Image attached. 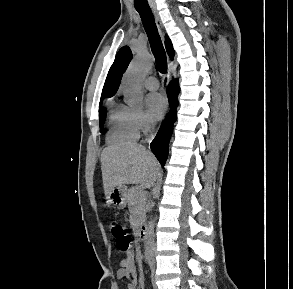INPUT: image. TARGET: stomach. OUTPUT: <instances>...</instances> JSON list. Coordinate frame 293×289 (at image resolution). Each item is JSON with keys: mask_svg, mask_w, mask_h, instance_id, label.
I'll return each mask as SVG.
<instances>
[{"mask_svg": "<svg viewBox=\"0 0 293 289\" xmlns=\"http://www.w3.org/2000/svg\"><path fill=\"white\" fill-rule=\"evenodd\" d=\"M127 187L125 185L116 186L107 196V205L117 209H123L127 202Z\"/></svg>", "mask_w": 293, "mask_h": 289, "instance_id": "obj_1", "label": "stomach"}]
</instances>
